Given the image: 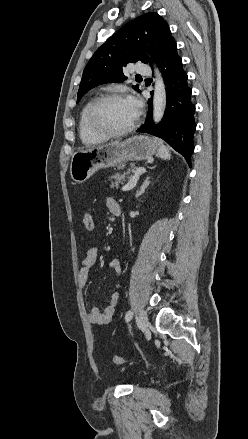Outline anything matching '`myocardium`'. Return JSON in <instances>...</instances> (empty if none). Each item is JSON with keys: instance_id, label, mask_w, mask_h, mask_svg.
I'll return each mask as SVG.
<instances>
[{"instance_id": "myocardium-1", "label": "myocardium", "mask_w": 248, "mask_h": 439, "mask_svg": "<svg viewBox=\"0 0 248 439\" xmlns=\"http://www.w3.org/2000/svg\"><path fill=\"white\" fill-rule=\"evenodd\" d=\"M121 99H127L124 95L119 93H108L100 96L97 98L92 105L89 108L88 111V124L91 130H93L95 133L106 136V137H121L130 134L133 132L138 124L140 119V113L139 111L136 114L135 120L132 122L131 125H129L127 128L122 130H111L106 127H104L98 120V112L100 108L106 104L109 101L113 100H121Z\"/></svg>"}]
</instances>
